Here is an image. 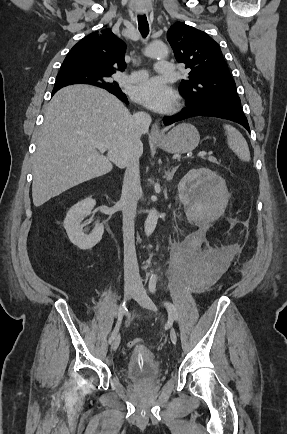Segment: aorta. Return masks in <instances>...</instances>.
I'll use <instances>...</instances> for the list:
<instances>
[{"label":"aorta","mask_w":287,"mask_h":434,"mask_svg":"<svg viewBox=\"0 0 287 434\" xmlns=\"http://www.w3.org/2000/svg\"><path fill=\"white\" fill-rule=\"evenodd\" d=\"M144 54L150 58H165L168 56V47L162 42H153L147 46ZM159 213L156 209H151L148 212L145 221L144 230L146 236H150L156 228Z\"/></svg>","instance_id":"762f6f07"}]
</instances>
